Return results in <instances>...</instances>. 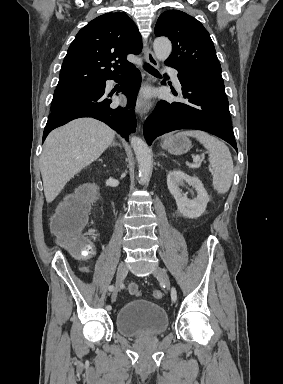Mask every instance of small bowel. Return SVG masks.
I'll use <instances>...</instances> for the list:
<instances>
[{
  "instance_id": "small-bowel-1",
  "label": "small bowel",
  "mask_w": 283,
  "mask_h": 384,
  "mask_svg": "<svg viewBox=\"0 0 283 384\" xmlns=\"http://www.w3.org/2000/svg\"><path fill=\"white\" fill-rule=\"evenodd\" d=\"M82 271H83V272H89L90 270H89V268H87V267H83V268H82ZM134 287H135V285L132 284V285H130L129 288H134Z\"/></svg>"
}]
</instances>
